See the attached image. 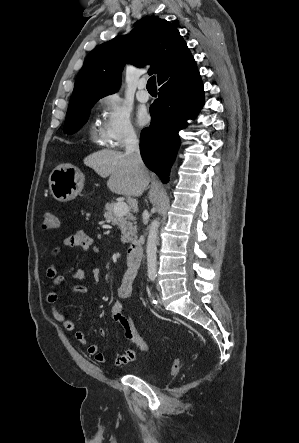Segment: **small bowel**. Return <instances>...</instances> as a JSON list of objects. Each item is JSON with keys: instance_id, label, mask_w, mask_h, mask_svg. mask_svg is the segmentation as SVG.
Listing matches in <instances>:
<instances>
[{"instance_id": "c3829d8e", "label": "small bowel", "mask_w": 299, "mask_h": 443, "mask_svg": "<svg viewBox=\"0 0 299 443\" xmlns=\"http://www.w3.org/2000/svg\"><path fill=\"white\" fill-rule=\"evenodd\" d=\"M62 247H71V248H80L83 251H89L92 250L94 252H97V247L94 243V240L91 236H89L86 232L79 230L75 232L74 234L68 236L62 241L61 245L56 246L52 250L53 256H59L62 250ZM139 270V266L134 267L129 264H127V269L125 270L119 288H118V296L121 300L126 299L130 297L133 289V283L137 277ZM89 273L92 275V278L94 282L99 281V269L92 263H88L87 270L76 268L70 271L69 276L75 280L85 281L89 280ZM46 275L48 278L52 280V285L47 292L46 300L51 306V312L53 317L59 321L66 330L68 331H74V338L75 340L87 347V351L89 355H91L96 361L99 363H106L107 357L104 355V353L100 350V348L95 344H89L87 337L85 333L82 330H76L75 322L63 311H61L57 305L58 302V293L57 288L64 284L66 278L64 275H61L58 270L57 264L53 263L51 264L46 271ZM74 293H82V294H89L90 290L88 287L83 285H75L73 287ZM111 318L117 322L123 332L125 338L129 342V347L127 350L114 358L113 364L115 366H122L129 364L133 361H135L137 357V348L129 341L127 338V334L123 325V316H125L124 312V305L121 301H117L110 312ZM97 323V320L92 319ZM99 332L102 336L105 335V331L102 327L99 328Z\"/></svg>"}]
</instances>
